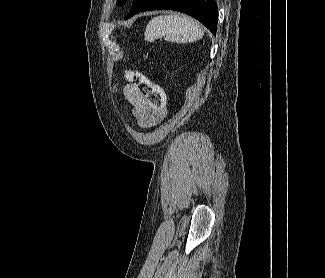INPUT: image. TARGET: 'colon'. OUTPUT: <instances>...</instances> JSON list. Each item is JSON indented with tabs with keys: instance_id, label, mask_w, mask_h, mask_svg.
<instances>
[{
	"instance_id": "1",
	"label": "colon",
	"mask_w": 325,
	"mask_h": 278,
	"mask_svg": "<svg viewBox=\"0 0 325 278\" xmlns=\"http://www.w3.org/2000/svg\"><path fill=\"white\" fill-rule=\"evenodd\" d=\"M126 77L141 92L153 110L165 111V94L158 84L136 70H128Z\"/></svg>"
}]
</instances>
